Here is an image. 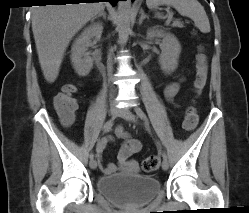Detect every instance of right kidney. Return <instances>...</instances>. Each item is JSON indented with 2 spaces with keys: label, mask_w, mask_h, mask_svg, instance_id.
Returning <instances> with one entry per match:
<instances>
[{
  "label": "right kidney",
  "mask_w": 249,
  "mask_h": 213,
  "mask_svg": "<svg viewBox=\"0 0 249 213\" xmlns=\"http://www.w3.org/2000/svg\"><path fill=\"white\" fill-rule=\"evenodd\" d=\"M103 31L101 23L91 24L74 41L71 51V61L76 73L79 76H86L93 67L92 58L86 53L87 42L91 38L100 39Z\"/></svg>",
  "instance_id": "ca27d5eb"
}]
</instances>
